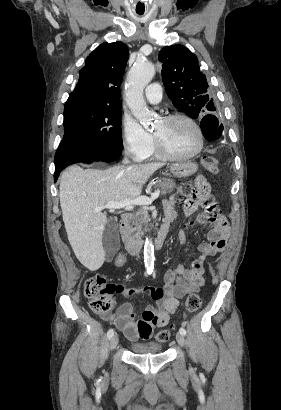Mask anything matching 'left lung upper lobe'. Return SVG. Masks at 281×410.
I'll use <instances>...</instances> for the list:
<instances>
[{"instance_id": "obj_1", "label": "left lung upper lobe", "mask_w": 281, "mask_h": 410, "mask_svg": "<svg viewBox=\"0 0 281 410\" xmlns=\"http://www.w3.org/2000/svg\"><path fill=\"white\" fill-rule=\"evenodd\" d=\"M159 61L167 95L177 109L194 119L200 118L207 110L215 111L207 94L206 77L199 69L195 54L182 45H172L159 52Z\"/></svg>"}]
</instances>
